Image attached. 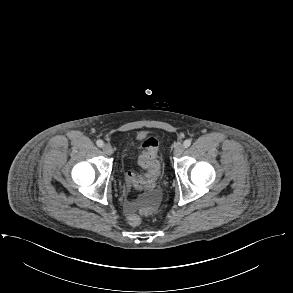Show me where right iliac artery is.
I'll return each mask as SVG.
<instances>
[{
  "mask_svg": "<svg viewBox=\"0 0 293 293\" xmlns=\"http://www.w3.org/2000/svg\"><path fill=\"white\" fill-rule=\"evenodd\" d=\"M96 144L98 147H103L104 142L102 140H97Z\"/></svg>",
  "mask_w": 293,
  "mask_h": 293,
  "instance_id": "82829eb1",
  "label": "right iliac artery"
}]
</instances>
